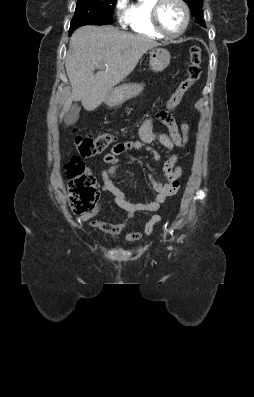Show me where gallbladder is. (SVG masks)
<instances>
[{
	"mask_svg": "<svg viewBox=\"0 0 254 397\" xmlns=\"http://www.w3.org/2000/svg\"><path fill=\"white\" fill-rule=\"evenodd\" d=\"M80 113V107L75 103L72 104L71 107L66 111L64 121L67 125L74 124L78 118Z\"/></svg>",
	"mask_w": 254,
	"mask_h": 397,
	"instance_id": "1",
	"label": "gallbladder"
}]
</instances>
